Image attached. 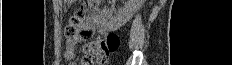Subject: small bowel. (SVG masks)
Masks as SVG:
<instances>
[{"label":"small bowel","mask_w":232,"mask_h":65,"mask_svg":"<svg viewBox=\"0 0 232 65\" xmlns=\"http://www.w3.org/2000/svg\"><path fill=\"white\" fill-rule=\"evenodd\" d=\"M102 33L100 27L99 12L93 11L90 13L81 23L78 32L66 42L64 49V59L68 65H74L73 60L75 58V48L76 44L83 41L84 37L93 32ZM87 59L81 62V65H92Z\"/></svg>","instance_id":"c3829d8e"}]
</instances>
